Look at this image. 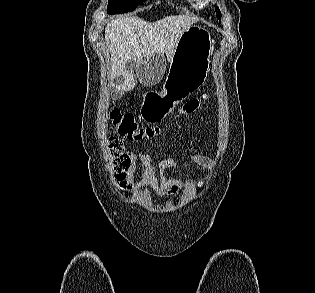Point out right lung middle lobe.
<instances>
[{
  "mask_svg": "<svg viewBox=\"0 0 315 293\" xmlns=\"http://www.w3.org/2000/svg\"><path fill=\"white\" fill-rule=\"evenodd\" d=\"M146 0H109L108 14H120L134 10Z\"/></svg>",
  "mask_w": 315,
  "mask_h": 293,
  "instance_id": "dd1d6c3e",
  "label": "right lung middle lobe"
}]
</instances>
